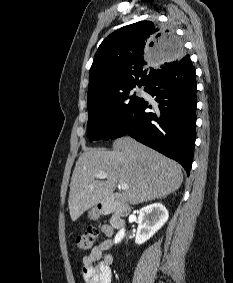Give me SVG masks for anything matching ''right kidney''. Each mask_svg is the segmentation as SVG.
Returning <instances> with one entry per match:
<instances>
[{
  "label": "right kidney",
  "instance_id": "right-kidney-1",
  "mask_svg": "<svg viewBox=\"0 0 233 283\" xmlns=\"http://www.w3.org/2000/svg\"><path fill=\"white\" fill-rule=\"evenodd\" d=\"M168 211L160 203L147 205L140 209L138 216V229L135 243L140 245L149 240L168 220ZM125 236L121 229L115 236L114 242L119 243Z\"/></svg>",
  "mask_w": 233,
  "mask_h": 283
}]
</instances>
